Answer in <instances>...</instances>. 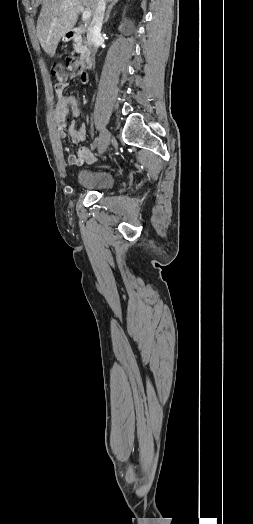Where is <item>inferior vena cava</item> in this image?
<instances>
[{
	"label": "inferior vena cava",
	"mask_w": 253,
	"mask_h": 524,
	"mask_svg": "<svg viewBox=\"0 0 253 524\" xmlns=\"http://www.w3.org/2000/svg\"><path fill=\"white\" fill-rule=\"evenodd\" d=\"M106 9V0H98L97 8L91 25L88 29V41L97 47L98 41L101 37V28L103 24L104 13Z\"/></svg>",
	"instance_id": "obj_1"
}]
</instances>
